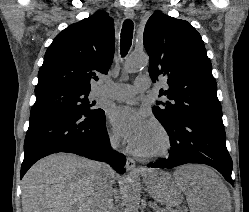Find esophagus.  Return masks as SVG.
Returning <instances> with one entry per match:
<instances>
[{"label": "esophagus", "mask_w": 249, "mask_h": 212, "mask_svg": "<svg viewBox=\"0 0 249 212\" xmlns=\"http://www.w3.org/2000/svg\"><path fill=\"white\" fill-rule=\"evenodd\" d=\"M124 15L127 19H132L135 16L134 10L132 8H125ZM136 167V163L132 157H127L126 159V170L128 173H133Z\"/></svg>", "instance_id": "esophagus-1"}]
</instances>
